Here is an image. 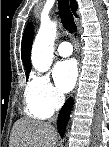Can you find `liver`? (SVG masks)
I'll list each match as a JSON object with an SVG mask.
<instances>
[{"label": "liver", "mask_w": 109, "mask_h": 147, "mask_svg": "<svg viewBox=\"0 0 109 147\" xmlns=\"http://www.w3.org/2000/svg\"><path fill=\"white\" fill-rule=\"evenodd\" d=\"M58 133L48 123L23 117L12 128L9 147H56Z\"/></svg>", "instance_id": "liver-1"}]
</instances>
